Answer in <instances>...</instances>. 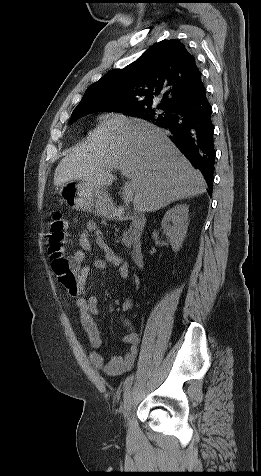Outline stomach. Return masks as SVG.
<instances>
[{
	"label": "stomach",
	"instance_id": "stomach-1",
	"mask_svg": "<svg viewBox=\"0 0 261 476\" xmlns=\"http://www.w3.org/2000/svg\"><path fill=\"white\" fill-rule=\"evenodd\" d=\"M60 193L72 209L102 217H111L114 213L112 200L105 187H96L82 180L71 181L61 187Z\"/></svg>",
	"mask_w": 261,
	"mask_h": 476
}]
</instances>
